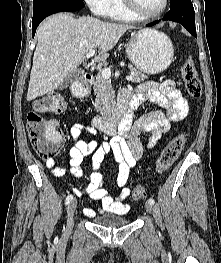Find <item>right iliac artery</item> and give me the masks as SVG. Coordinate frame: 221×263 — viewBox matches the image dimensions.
Returning a JSON list of instances; mask_svg holds the SVG:
<instances>
[{"mask_svg": "<svg viewBox=\"0 0 221 263\" xmlns=\"http://www.w3.org/2000/svg\"><path fill=\"white\" fill-rule=\"evenodd\" d=\"M72 199H73V195H68L67 196V198H66V200H65V204L67 205V204H69L71 201H72Z\"/></svg>", "mask_w": 221, "mask_h": 263, "instance_id": "82829eb1", "label": "right iliac artery"}]
</instances>
